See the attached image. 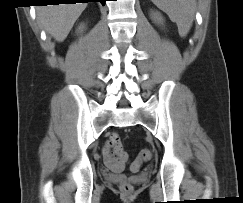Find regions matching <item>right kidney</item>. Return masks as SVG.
Wrapping results in <instances>:
<instances>
[{
  "mask_svg": "<svg viewBox=\"0 0 243 203\" xmlns=\"http://www.w3.org/2000/svg\"><path fill=\"white\" fill-rule=\"evenodd\" d=\"M85 29L84 24H80V26L78 27L77 32H82Z\"/></svg>",
  "mask_w": 243,
  "mask_h": 203,
  "instance_id": "ca27d5eb",
  "label": "right kidney"
}]
</instances>
